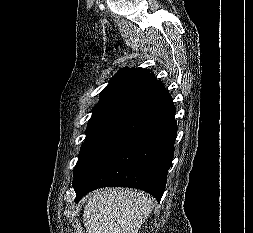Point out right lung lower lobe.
Wrapping results in <instances>:
<instances>
[{
  "instance_id": "98d812e1",
  "label": "right lung lower lobe",
  "mask_w": 253,
  "mask_h": 233,
  "mask_svg": "<svg viewBox=\"0 0 253 233\" xmlns=\"http://www.w3.org/2000/svg\"><path fill=\"white\" fill-rule=\"evenodd\" d=\"M176 133L175 107L162 86L137 102L74 172L75 201L109 186L141 189L160 201Z\"/></svg>"
}]
</instances>
